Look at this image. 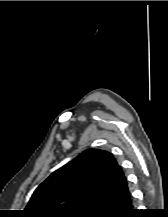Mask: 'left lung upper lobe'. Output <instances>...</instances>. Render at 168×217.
Here are the masks:
<instances>
[{"label": "left lung upper lobe", "mask_w": 168, "mask_h": 217, "mask_svg": "<svg viewBox=\"0 0 168 217\" xmlns=\"http://www.w3.org/2000/svg\"><path fill=\"white\" fill-rule=\"evenodd\" d=\"M127 185L112 154L88 149L41 183L25 212L29 217H98Z\"/></svg>", "instance_id": "1"}]
</instances>
